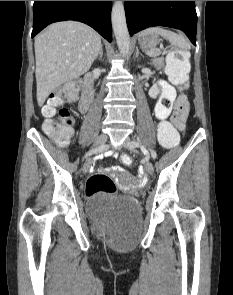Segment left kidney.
I'll return each instance as SVG.
<instances>
[{"instance_id":"1","label":"left kidney","mask_w":233,"mask_h":295,"mask_svg":"<svg viewBox=\"0 0 233 295\" xmlns=\"http://www.w3.org/2000/svg\"><path fill=\"white\" fill-rule=\"evenodd\" d=\"M159 94V88L157 86V84H154L153 87L149 90V96L151 98H156Z\"/></svg>"}]
</instances>
